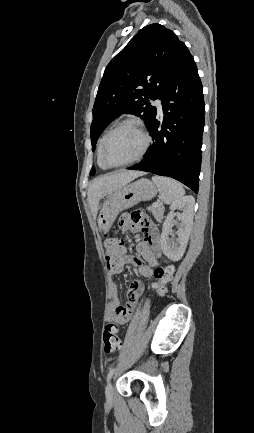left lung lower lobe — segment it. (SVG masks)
Returning a JSON list of instances; mask_svg holds the SVG:
<instances>
[{
	"label": "left lung lower lobe",
	"mask_w": 254,
	"mask_h": 433,
	"mask_svg": "<svg viewBox=\"0 0 254 433\" xmlns=\"http://www.w3.org/2000/svg\"><path fill=\"white\" fill-rule=\"evenodd\" d=\"M162 121L155 115L148 130L153 144L132 170L174 178L198 192L205 103L194 59L188 51L162 96Z\"/></svg>",
	"instance_id": "obj_1"
}]
</instances>
